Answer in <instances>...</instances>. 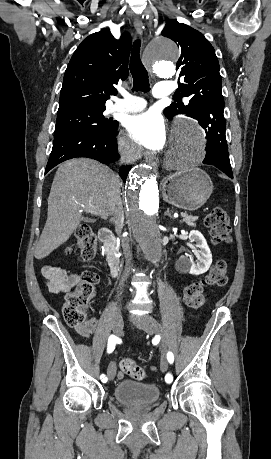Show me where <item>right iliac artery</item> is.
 <instances>
[{
  "mask_svg": "<svg viewBox=\"0 0 271 459\" xmlns=\"http://www.w3.org/2000/svg\"><path fill=\"white\" fill-rule=\"evenodd\" d=\"M117 338H118V337H116L115 335H111V336L109 337V339H108V346H107V352H108V353H111V352L115 349V345H116V343H117ZM100 379H101V381H104V382L107 381V377H106L104 374H102V375L100 376Z\"/></svg>",
  "mask_w": 271,
  "mask_h": 459,
  "instance_id": "right-iliac-artery-1",
  "label": "right iliac artery"
}]
</instances>
